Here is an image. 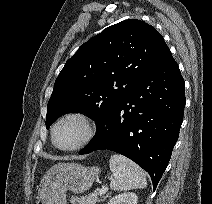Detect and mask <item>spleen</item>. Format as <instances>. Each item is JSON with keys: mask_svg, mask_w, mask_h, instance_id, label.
Returning a JSON list of instances; mask_svg holds the SVG:
<instances>
[{"mask_svg": "<svg viewBox=\"0 0 212 204\" xmlns=\"http://www.w3.org/2000/svg\"><path fill=\"white\" fill-rule=\"evenodd\" d=\"M109 166L114 175L110 182L112 190L127 191L146 188L145 172L130 159L114 154L110 157Z\"/></svg>", "mask_w": 212, "mask_h": 204, "instance_id": "3e777b00", "label": "spleen"}]
</instances>
